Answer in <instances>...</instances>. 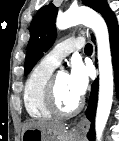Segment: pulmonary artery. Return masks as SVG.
Instances as JSON below:
<instances>
[{"label": "pulmonary artery", "mask_w": 119, "mask_h": 141, "mask_svg": "<svg viewBox=\"0 0 119 141\" xmlns=\"http://www.w3.org/2000/svg\"><path fill=\"white\" fill-rule=\"evenodd\" d=\"M84 42L80 38H68L58 43L45 57L44 61L57 67L72 51L80 49Z\"/></svg>", "instance_id": "1"}]
</instances>
